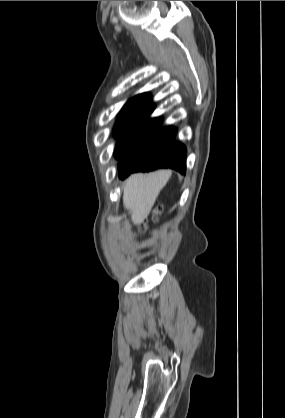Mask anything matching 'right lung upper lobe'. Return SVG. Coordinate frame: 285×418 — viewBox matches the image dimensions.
<instances>
[{
    "label": "right lung upper lobe",
    "instance_id": "cb5924a9",
    "mask_svg": "<svg viewBox=\"0 0 285 418\" xmlns=\"http://www.w3.org/2000/svg\"><path fill=\"white\" fill-rule=\"evenodd\" d=\"M127 104H139V105H146L150 107H155V104L152 101L151 96L149 93L139 94L133 98H131Z\"/></svg>",
    "mask_w": 285,
    "mask_h": 418
}]
</instances>
